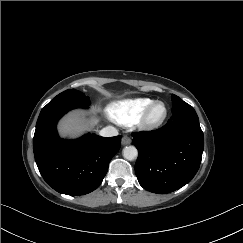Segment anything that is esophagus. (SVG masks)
Instances as JSON below:
<instances>
[{"mask_svg": "<svg viewBox=\"0 0 243 243\" xmlns=\"http://www.w3.org/2000/svg\"><path fill=\"white\" fill-rule=\"evenodd\" d=\"M122 145H129L131 143V139L128 136H123L121 139Z\"/></svg>", "mask_w": 243, "mask_h": 243, "instance_id": "obj_1", "label": "esophagus"}]
</instances>
